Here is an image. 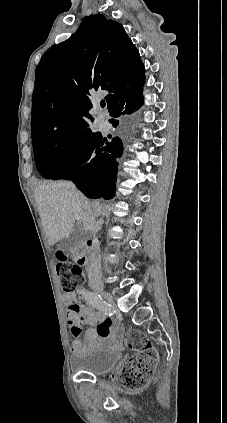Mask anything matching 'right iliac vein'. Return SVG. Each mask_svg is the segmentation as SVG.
Masks as SVG:
<instances>
[{
	"instance_id": "right-iliac-vein-1",
	"label": "right iliac vein",
	"mask_w": 227,
	"mask_h": 423,
	"mask_svg": "<svg viewBox=\"0 0 227 423\" xmlns=\"http://www.w3.org/2000/svg\"><path fill=\"white\" fill-rule=\"evenodd\" d=\"M95 291L98 292L99 294H101L107 301L112 303V300H113L112 297L102 287H97L95 289Z\"/></svg>"
}]
</instances>
